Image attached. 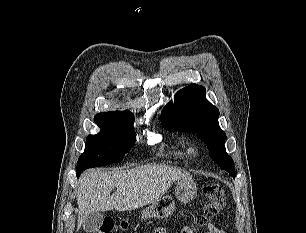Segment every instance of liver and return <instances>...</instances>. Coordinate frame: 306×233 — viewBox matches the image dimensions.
<instances>
[{"instance_id": "1", "label": "liver", "mask_w": 306, "mask_h": 233, "mask_svg": "<svg viewBox=\"0 0 306 233\" xmlns=\"http://www.w3.org/2000/svg\"><path fill=\"white\" fill-rule=\"evenodd\" d=\"M185 179H192L188 172L162 164L112 172L88 171L78 183L77 229L92 212L130 211L143 207L161 198L174 182ZM114 188L116 192L110 195Z\"/></svg>"}]
</instances>
